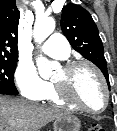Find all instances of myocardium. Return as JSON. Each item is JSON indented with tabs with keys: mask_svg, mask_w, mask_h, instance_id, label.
I'll return each mask as SVG.
<instances>
[{
	"mask_svg": "<svg viewBox=\"0 0 117 131\" xmlns=\"http://www.w3.org/2000/svg\"><path fill=\"white\" fill-rule=\"evenodd\" d=\"M88 67L91 69L95 75L98 77L100 84L103 89L104 93V103L103 106L99 110H92L87 108L85 105H83L81 102H79L70 92L69 85L67 80H61V81H55L53 80V85L55 88V91L59 98L63 100L65 103H67L70 106H73L74 108H77L83 112L89 113V114H99L102 113L108 106L109 104V99H110V94H109V89L106 83V80L100 71V69L95 66L93 63L86 61V60H73V61H68L62 65V70L64 71L65 74L69 75L71 74L75 69L79 67Z\"/></svg>",
	"mask_w": 117,
	"mask_h": 131,
	"instance_id": "1",
	"label": "myocardium"
}]
</instances>
